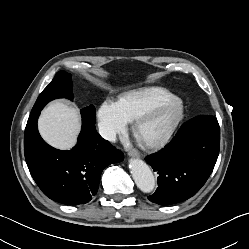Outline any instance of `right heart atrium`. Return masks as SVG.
Segmentation results:
<instances>
[{"label": "right heart atrium", "mask_w": 249, "mask_h": 249, "mask_svg": "<svg viewBox=\"0 0 249 249\" xmlns=\"http://www.w3.org/2000/svg\"><path fill=\"white\" fill-rule=\"evenodd\" d=\"M98 127L101 135L108 141H114L128 127L129 121L121 112L118 101L105 100L98 113Z\"/></svg>", "instance_id": "1"}]
</instances>
